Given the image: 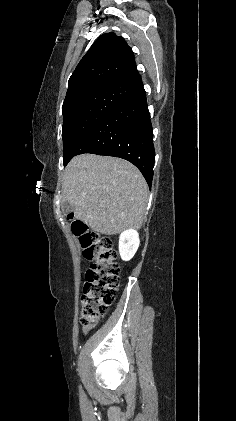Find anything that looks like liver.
<instances>
[{
	"label": "liver",
	"instance_id": "obj_1",
	"mask_svg": "<svg viewBox=\"0 0 236 421\" xmlns=\"http://www.w3.org/2000/svg\"><path fill=\"white\" fill-rule=\"evenodd\" d=\"M147 182L140 170L117 156L78 154L65 168L62 200L75 208V219L101 235L142 227Z\"/></svg>",
	"mask_w": 236,
	"mask_h": 421
}]
</instances>
